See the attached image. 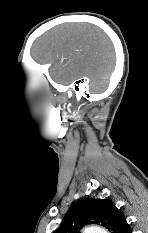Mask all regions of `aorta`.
Here are the masks:
<instances>
[{"instance_id":"aorta-1","label":"aorta","mask_w":148,"mask_h":233,"mask_svg":"<svg viewBox=\"0 0 148 233\" xmlns=\"http://www.w3.org/2000/svg\"><path fill=\"white\" fill-rule=\"evenodd\" d=\"M82 233H108V231L98 225H90L85 227Z\"/></svg>"}]
</instances>
